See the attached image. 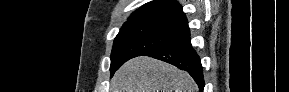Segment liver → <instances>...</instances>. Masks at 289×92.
Wrapping results in <instances>:
<instances>
[{"label": "liver", "instance_id": "6515ba94", "mask_svg": "<svg viewBox=\"0 0 289 92\" xmlns=\"http://www.w3.org/2000/svg\"><path fill=\"white\" fill-rule=\"evenodd\" d=\"M112 92H197L185 71L147 56L126 62L111 80Z\"/></svg>", "mask_w": 289, "mask_h": 92}]
</instances>
